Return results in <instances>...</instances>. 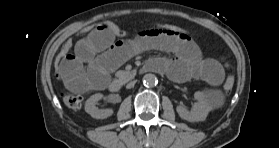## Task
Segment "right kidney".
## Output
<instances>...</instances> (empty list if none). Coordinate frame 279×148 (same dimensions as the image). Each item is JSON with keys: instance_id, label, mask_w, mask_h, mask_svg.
Listing matches in <instances>:
<instances>
[{"instance_id": "right-kidney-1", "label": "right kidney", "mask_w": 279, "mask_h": 148, "mask_svg": "<svg viewBox=\"0 0 279 148\" xmlns=\"http://www.w3.org/2000/svg\"><path fill=\"white\" fill-rule=\"evenodd\" d=\"M103 95L101 93H96L92 95L86 102H85V111L91 115V117L96 119H106L113 114L112 109H98L96 107V103L102 99Z\"/></svg>"}]
</instances>
